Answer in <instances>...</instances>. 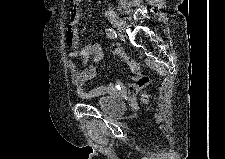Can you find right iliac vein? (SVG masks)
Instances as JSON below:
<instances>
[{"label": "right iliac vein", "instance_id": "obj_1", "mask_svg": "<svg viewBox=\"0 0 225 159\" xmlns=\"http://www.w3.org/2000/svg\"><path fill=\"white\" fill-rule=\"evenodd\" d=\"M107 17L114 27H117L120 30H122L125 27L124 22L114 11L110 10L107 14Z\"/></svg>", "mask_w": 225, "mask_h": 159}]
</instances>
